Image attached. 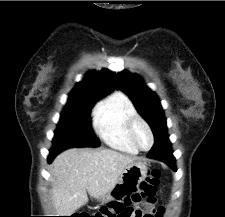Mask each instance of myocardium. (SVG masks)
<instances>
[{
	"instance_id": "obj_1",
	"label": "myocardium",
	"mask_w": 225,
	"mask_h": 217,
	"mask_svg": "<svg viewBox=\"0 0 225 217\" xmlns=\"http://www.w3.org/2000/svg\"><path fill=\"white\" fill-rule=\"evenodd\" d=\"M139 125H142L148 131V133L150 135L151 143H150L149 147H147V148H143L137 141L136 129ZM128 135H129V138H130L132 144L140 151L150 150L155 141V137H154L152 128L150 127V125L148 124V122L145 119H143L142 117H140L138 115H136L130 119V121L128 123Z\"/></svg>"
}]
</instances>
